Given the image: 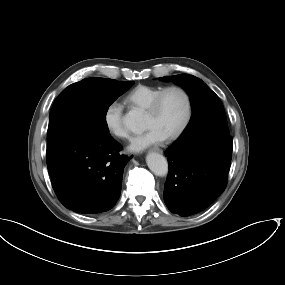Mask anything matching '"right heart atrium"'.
Instances as JSON below:
<instances>
[{"label": "right heart atrium", "instance_id": "d8ad5b80", "mask_svg": "<svg viewBox=\"0 0 285 285\" xmlns=\"http://www.w3.org/2000/svg\"><path fill=\"white\" fill-rule=\"evenodd\" d=\"M122 107L112 102L108 104L103 113V120L107 131L116 138L127 139L129 131L123 123Z\"/></svg>", "mask_w": 285, "mask_h": 285}]
</instances>
